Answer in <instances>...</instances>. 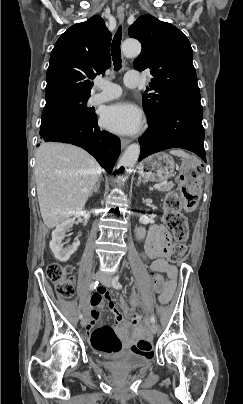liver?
Wrapping results in <instances>:
<instances>
[{
	"label": "liver",
	"mask_w": 243,
	"mask_h": 404,
	"mask_svg": "<svg viewBox=\"0 0 243 404\" xmlns=\"http://www.w3.org/2000/svg\"><path fill=\"white\" fill-rule=\"evenodd\" d=\"M101 172L98 162L82 148L41 144L36 152L35 180L45 226L55 228L82 210Z\"/></svg>",
	"instance_id": "1"
}]
</instances>
